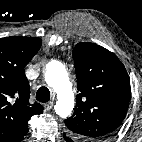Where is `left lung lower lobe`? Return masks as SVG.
Here are the masks:
<instances>
[{
    "mask_svg": "<svg viewBox=\"0 0 142 142\" xmlns=\"http://www.w3.org/2000/svg\"><path fill=\"white\" fill-rule=\"evenodd\" d=\"M64 138L67 142H73V140L66 134H64Z\"/></svg>",
    "mask_w": 142,
    "mask_h": 142,
    "instance_id": "0a47b994",
    "label": "left lung lower lobe"
}]
</instances>
